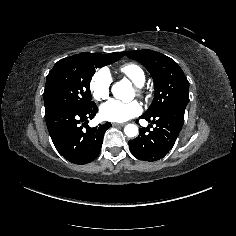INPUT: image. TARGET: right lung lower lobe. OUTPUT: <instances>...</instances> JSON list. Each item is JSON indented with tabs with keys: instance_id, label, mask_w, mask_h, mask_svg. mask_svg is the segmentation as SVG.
Wrapping results in <instances>:
<instances>
[{
	"instance_id": "right-lung-lower-lobe-1",
	"label": "right lung lower lobe",
	"mask_w": 236,
	"mask_h": 236,
	"mask_svg": "<svg viewBox=\"0 0 236 236\" xmlns=\"http://www.w3.org/2000/svg\"><path fill=\"white\" fill-rule=\"evenodd\" d=\"M97 112L94 104L84 110L58 108L45 113L55 148L71 163L86 164L99 155L104 133L112 125L107 122L94 128L86 126L88 119H92Z\"/></svg>"
}]
</instances>
